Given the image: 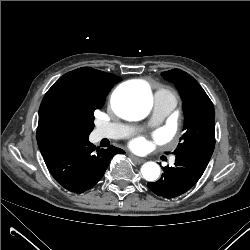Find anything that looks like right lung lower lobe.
<instances>
[{
	"label": "right lung lower lobe",
	"mask_w": 250,
	"mask_h": 250,
	"mask_svg": "<svg viewBox=\"0 0 250 250\" xmlns=\"http://www.w3.org/2000/svg\"><path fill=\"white\" fill-rule=\"evenodd\" d=\"M88 138L74 135L39 145L52 176L64 188L75 193L92 188L104 175L113 156L124 153L114 146L100 150Z\"/></svg>",
	"instance_id": "right-lung-lower-lobe-1"
}]
</instances>
